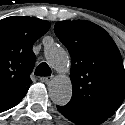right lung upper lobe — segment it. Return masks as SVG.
<instances>
[{"mask_svg":"<svg viewBox=\"0 0 125 125\" xmlns=\"http://www.w3.org/2000/svg\"><path fill=\"white\" fill-rule=\"evenodd\" d=\"M49 28L35 17L0 20V109L17 105L27 93L36 58L32 46Z\"/></svg>","mask_w":125,"mask_h":125,"instance_id":"cb5924a9","label":"right lung upper lobe"}]
</instances>
